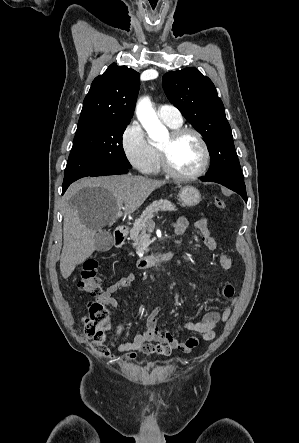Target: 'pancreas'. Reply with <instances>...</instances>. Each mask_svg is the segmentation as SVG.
<instances>
[{"instance_id": "obj_1", "label": "pancreas", "mask_w": 299, "mask_h": 443, "mask_svg": "<svg viewBox=\"0 0 299 443\" xmlns=\"http://www.w3.org/2000/svg\"><path fill=\"white\" fill-rule=\"evenodd\" d=\"M176 206L168 200L154 201L148 206L140 217L135 221L130 230V238L134 241L133 246L138 253H144L147 248L146 227L151 222V216L159 211H176Z\"/></svg>"}]
</instances>
